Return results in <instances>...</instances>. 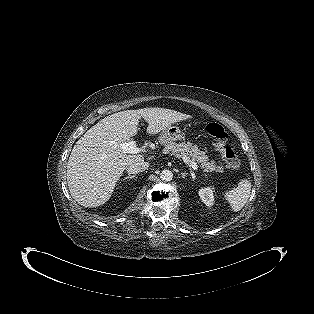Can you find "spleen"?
Returning <instances> with one entry per match:
<instances>
[{"instance_id": "3e777b00", "label": "spleen", "mask_w": 314, "mask_h": 314, "mask_svg": "<svg viewBox=\"0 0 314 314\" xmlns=\"http://www.w3.org/2000/svg\"><path fill=\"white\" fill-rule=\"evenodd\" d=\"M251 182L242 179L238 185L230 191H226L224 196L234 212L240 211L247 203L251 194Z\"/></svg>"}]
</instances>
